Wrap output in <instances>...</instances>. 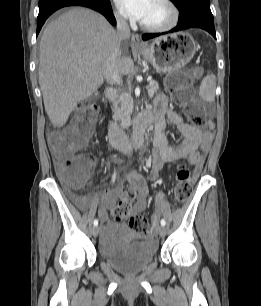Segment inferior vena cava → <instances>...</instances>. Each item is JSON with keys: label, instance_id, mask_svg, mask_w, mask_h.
<instances>
[{"label": "inferior vena cava", "instance_id": "602c4592", "mask_svg": "<svg viewBox=\"0 0 261 306\" xmlns=\"http://www.w3.org/2000/svg\"><path fill=\"white\" fill-rule=\"evenodd\" d=\"M117 35L119 41L130 38V28L128 23L123 18H117ZM120 57V49L116 47L108 56L103 65L104 77L110 85L120 84L121 76L118 70V60Z\"/></svg>", "mask_w": 261, "mask_h": 306}]
</instances>
